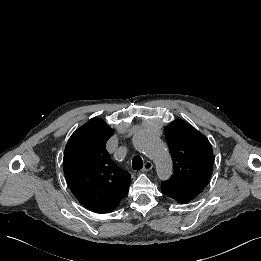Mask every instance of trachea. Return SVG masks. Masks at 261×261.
I'll use <instances>...</instances> for the list:
<instances>
[{
	"instance_id": "3493384b",
	"label": "trachea",
	"mask_w": 261,
	"mask_h": 261,
	"mask_svg": "<svg viewBox=\"0 0 261 261\" xmlns=\"http://www.w3.org/2000/svg\"><path fill=\"white\" fill-rule=\"evenodd\" d=\"M132 167L134 170H140L143 168V160L140 156H135L132 159Z\"/></svg>"
}]
</instances>
